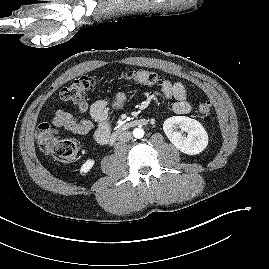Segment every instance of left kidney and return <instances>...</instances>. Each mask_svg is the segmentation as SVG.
<instances>
[{"label": "left kidney", "mask_w": 269, "mask_h": 269, "mask_svg": "<svg viewBox=\"0 0 269 269\" xmlns=\"http://www.w3.org/2000/svg\"><path fill=\"white\" fill-rule=\"evenodd\" d=\"M180 128L181 131H177ZM163 130L171 143L181 152L196 155L208 145V134L195 119L186 116H173L163 124ZM186 132L187 134H182Z\"/></svg>", "instance_id": "5707ae66"}]
</instances>
